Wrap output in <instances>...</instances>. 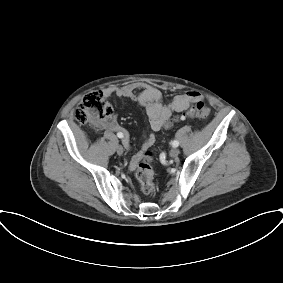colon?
Masks as SVG:
<instances>
[{"label":"colon","mask_w":283,"mask_h":283,"mask_svg":"<svg viewBox=\"0 0 283 283\" xmlns=\"http://www.w3.org/2000/svg\"><path fill=\"white\" fill-rule=\"evenodd\" d=\"M74 119L80 124H89L95 129H102L113 115L111 104L101 92L94 91L84 95L74 110ZM210 115V107L199 101L188 112L191 118L204 119ZM172 123V122H171ZM151 156L144 152L136 165V177L145 195H153L156 190Z\"/></svg>","instance_id":"1"}]
</instances>
